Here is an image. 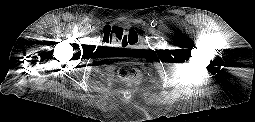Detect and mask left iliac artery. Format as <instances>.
Masks as SVG:
<instances>
[{"label": "left iliac artery", "instance_id": "44dca946", "mask_svg": "<svg viewBox=\"0 0 255 122\" xmlns=\"http://www.w3.org/2000/svg\"><path fill=\"white\" fill-rule=\"evenodd\" d=\"M156 25H157V21H152V22H151V26H152V27H155Z\"/></svg>", "mask_w": 255, "mask_h": 122}]
</instances>
